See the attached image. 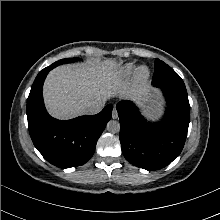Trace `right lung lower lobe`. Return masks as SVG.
I'll list each match as a JSON object with an SVG mask.
<instances>
[{
	"label": "right lung lower lobe",
	"mask_w": 220,
	"mask_h": 220,
	"mask_svg": "<svg viewBox=\"0 0 220 220\" xmlns=\"http://www.w3.org/2000/svg\"><path fill=\"white\" fill-rule=\"evenodd\" d=\"M53 65L37 75L27 99L28 128L33 144L42 156L59 168H70L86 163L93 155L96 143L113 106L108 104L96 115L77 117L68 121L52 118L46 111L42 86Z\"/></svg>",
	"instance_id": "1"
}]
</instances>
